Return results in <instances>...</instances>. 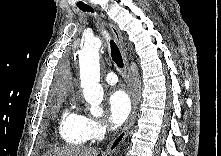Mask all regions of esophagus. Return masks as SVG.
<instances>
[{
    "mask_svg": "<svg viewBox=\"0 0 221 156\" xmlns=\"http://www.w3.org/2000/svg\"><path fill=\"white\" fill-rule=\"evenodd\" d=\"M92 7H94V6H92ZM108 26H109L118 46L120 48L123 62H124V71H125V74L129 80L130 86H131V97H132V113H131L129 122L124 127V129L117 135V137L108 145V147L106 149L107 154H111L121 145V143L126 138V135L129 131V129L132 127V125L136 119V115H137L138 101H137V94H136L134 79H133V75L130 70L127 52H126V48L124 45V40H123L122 34H121L120 30L114 24L108 23Z\"/></svg>",
    "mask_w": 221,
    "mask_h": 156,
    "instance_id": "1",
    "label": "esophagus"
}]
</instances>
